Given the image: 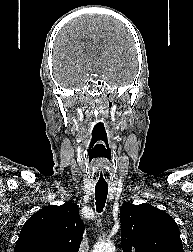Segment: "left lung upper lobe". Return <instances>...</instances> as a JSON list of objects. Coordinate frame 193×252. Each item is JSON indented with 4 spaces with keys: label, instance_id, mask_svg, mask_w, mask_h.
<instances>
[{
    "label": "left lung upper lobe",
    "instance_id": "1",
    "mask_svg": "<svg viewBox=\"0 0 193 252\" xmlns=\"http://www.w3.org/2000/svg\"><path fill=\"white\" fill-rule=\"evenodd\" d=\"M120 222L123 252H183L178 225L165 211L124 202Z\"/></svg>",
    "mask_w": 193,
    "mask_h": 252
}]
</instances>
